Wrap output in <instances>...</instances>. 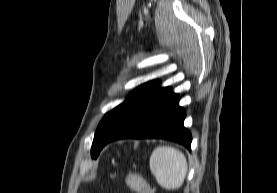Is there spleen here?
<instances>
[{
	"mask_svg": "<svg viewBox=\"0 0 277 193\" xmlns=\"http://www.w3.org/2000/svg\"><path fill=\"white\" fill-rule=\"evenodd\" d=\"M187 168L185 155L171 146H159L151 154L150 170L165 190L180 188L185 180Z\"/></svg>",
	"mask_w": 277,
	"mask_h": 193,
	"instance_id": "spleen-1",
	"label": "spleen"
}]
</instances>
